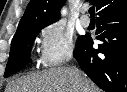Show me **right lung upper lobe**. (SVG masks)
Listing matches in <instances>:
<instances>
[{"label": "right lung upper lobe", "mask_w": 127, "mask_h": 92, "mask_svg": "<svg viewBox=\"0 0 127 92\" xmlns=\"http://www.w3.org/2000/svg\"><path fill=\"white\" fill-rule=\"evenodd\" d=\"M65 0H31L21 18L16 34L33 26L49 25L59 19V11ZM96 6L97 15L127 7V0H90Z\"/></svg>", "instance_id": "cb5924a9"}]
</instances>
